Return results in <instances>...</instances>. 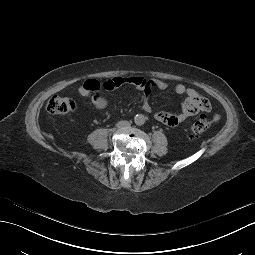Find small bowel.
Listing matches in <instances>:
<instances>
[{
	"instance_id": "c3829d8e",
	"label": "small bowel",
	"mask_w": 255,
	"mask_h": 255,
	"mask_svg": "<svg viewBox=\"0 0 255 255\" xmlns=\"http://www.w3.org/2000/svg\"><path fill=\"white\" fill-rule=\"evenodd\" d=\"M133 86L143 91V101L141 109L146 113H152V107L148 103V98L152 90H165L168 83L157 78L146 79L143 76H118L113 77L103 83L98 80H86L78 89L79 94L83 97H90L94 106L104 110L108 106L107 100L100 95L102 90H114L123 86ZM175 92L184 96L181 111L178 113L156 112L154 118L160 123L175 127L186 119L198 114L199 112H209L211 104L205 97L201 96L196 90L186 87L184 84H177Z\"/></svg>"
}]
</instances>
